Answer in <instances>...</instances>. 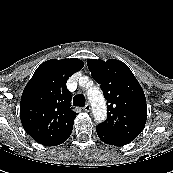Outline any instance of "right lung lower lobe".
Wrapping results in <instances>:
<instances>
[{"instance_id":"right-lung-lower-lobe-1","label":"right lung lower lobe","mask_w":173,"mask_h":173,"mask_svg":"<svg viewBox=\"0 0 173 173\" xmlns=\"http://www.w3.org/2000/svg\"><path fill=\"white\" fill-rule=\"evenodd\" d=\"M71 132H72V130L64 138H62L61 140H59L58 142H56L50 146L60 145L61 143L65 142L71 135Z\"/></svg>"}]
</instances>
